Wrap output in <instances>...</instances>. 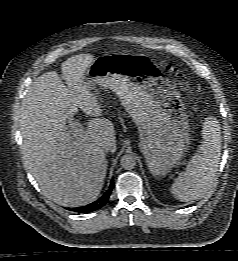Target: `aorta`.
<instances>
[{"label":"aorta","mask_w":238,"mask_h":261,"mask_svg":"<svg viewBox=\"0 0 238 261\" xmlns=\"http://www.w3.org/2000/svg\"><path fill=\"white\" fill-rule=\"evenodd\" d=\"M120 165L126 170H131L136 166V158L132 154H125L120 160Z\"/></svg>","instance_id":"obj_1"}]
</instances>
